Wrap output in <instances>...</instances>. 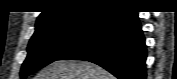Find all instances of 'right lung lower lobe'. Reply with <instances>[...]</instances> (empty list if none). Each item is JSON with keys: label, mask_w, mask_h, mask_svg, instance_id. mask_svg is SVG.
I'll return each mask as SVG.
<instances>
[{"label": "right lung lower lobe", "mask_w": 177, "mask_h": 79, "mask_svg": "<svg viewBox=\"0 0 177 79\" xmlns=\"http://www.w3.org/2000/svg\"><path fill=\"white\" fill-rule=\"evenodd\" d=\"M145 38L137 12L114 8L75 47L58 60L96 63L118 79H145Z\"/></svg>", "instance_id": "right-lung-lower-lobe-1"}]
</instances>
